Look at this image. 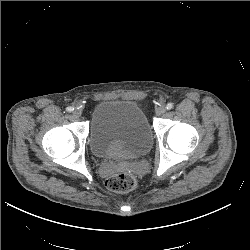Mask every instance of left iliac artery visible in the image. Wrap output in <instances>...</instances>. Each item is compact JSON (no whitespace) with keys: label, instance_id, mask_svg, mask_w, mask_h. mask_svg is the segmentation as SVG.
Returning a JSON list of instances; mask_svg holds the SVG:
<instances>
[{"label":"left iliac artery","instance_id":"1","mask_svg":"<svg viewBox=\"0 0 250 250\" xmlns=\"http://www.w3.org/2000/svg\"><path fill=\"white\" fill-rule=\"evenodd\" d=\"M173 108V103H168L167 105H166V109L167 110H170V109H172Z\"/></svg>","mask_w":250,"mask_h":250}]
</instances>
